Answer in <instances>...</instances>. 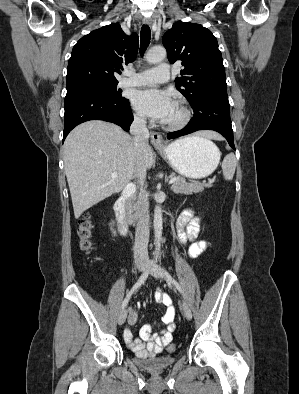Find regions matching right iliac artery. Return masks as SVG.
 <instances>
[{
	"instance_id": "obj_1",
	"label": "right iliac artery",
	"mask_w": 299,
	"mask_h": 394,
	"mask_svg": "<svg viewBox=\"0 0 299 394\" xmlns=\"http://www.w3.org/2000/svg\"><path fill=\"white\" fill-rule=\"evenodd\" d=\"M154 263V260L151 261L149 268L140 276V278L138 279V281L135 283V285L132 287V289L130 290V292L126 295L125 299L122 302V310L127 306L132 294L146 281L148 275H149V271L151 268V265Z\"/></svg>"
}]
</instances>
